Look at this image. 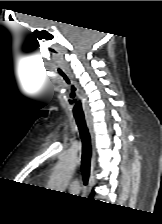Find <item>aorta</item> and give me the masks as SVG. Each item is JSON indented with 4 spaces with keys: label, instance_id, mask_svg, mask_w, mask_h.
Returning a JSON list of instances; mask_svg holds the SVG:
<instances>
[{
    "label": "aorta",
    "instance_id": "1",
    "mask_svg": "<svg viewBox=\"0 0 162 224\" xmlns=\"http://www.w3.org/2000/svg\"><path fill=\"white\" fill-rule=\"evenodd\" d=\"M76 165L77 158L75 156L69 155L62 158L53 170L49 187L62 192L64 183L72 176Z\"/></svg>",
    "mask_w": 162,
    "mask_h": 224
}]
</instances>
